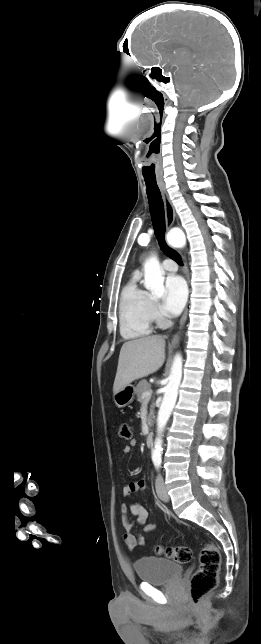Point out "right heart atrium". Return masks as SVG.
<instances>
[{
    "mask_svg": "<svg viewBox=\"0 0 261 644\" xmlns=\"http://www.w3.org/2000/svg\"><path fill=\"white\" fill-rule=\"evenodd\" d=\"M151 310H152V315L154 320L157 321L158 323H163L164 317L161 312V308L157 302L152 301Z\"/></svg>",
    "mask_w": 261,
    "mask_h": 644,
    "instance_id": "d8ad5b80",
    "label": "right heart atrium"
}]
</instances>
